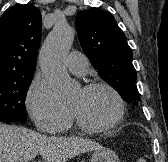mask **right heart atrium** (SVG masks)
Listing matches in <instances>:
<instances>
[{"mask_svg": "<svg viewBox=\"0 0 168 162\" xmlns=\"http://www.w3.org/2000/svg\"><path fill=\"white\" fill-rule=\"evenodd\" d=\"M27 111L39 131L58 133L70 123L68 108L59 102L50 85L35 79L26 95Z\"/></svg>", "mask_w": 168, "mask_h": 162, "instance_id": "obj_1", "label": "right heart atrium"}]
</instances>
